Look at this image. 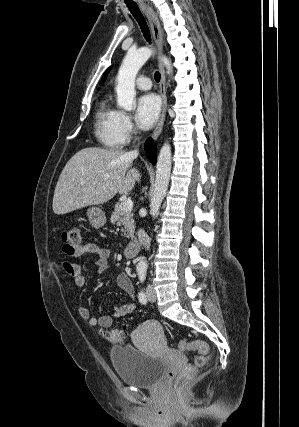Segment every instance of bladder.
<instances>
[{
	"label": "bladder",
	"instance_id": "obj_1",
	"mask_svg": "<svg viewBox=\"0 0 299 427\" xmlns=\"http://www.w3.org/2000/svg\"><path fill=\"white\" fill-rule=\"evenodd\" d=\"M110 359L119 379L139 388L156 386L167 369L161 358L147 355L128 343L113 346Z\"/></svg>",
	"mask_w": 299,
	"mask_h": 427
}]
</instances>
